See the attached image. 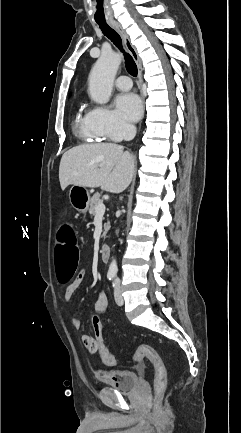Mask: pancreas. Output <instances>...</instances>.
Wrapping results in <instances>:
<instances>
[{
    "instance_id": "1",
    "label": "pancreas",
    "mask_w": 241,
    "mask_h": 433,
    "mask_svg": "<svg viewBox=\"0 0 241 433\" xmlns=\"http://www.w3.org/2000/svg\"><path fill=\"white\" fill-rule=\"evenodd\" d=\"M103 200L100 198V194L96 193L93 195V197L90 199V204H89V213L93 216L96 215V206L99 204H102ZM110 229V223L107 222L104 224V232L102 237L105 238L106 233L108 232V230Z\"/></svg>"
}]
</instances>
